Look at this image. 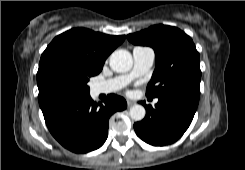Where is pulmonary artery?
<instances>
[{"mask_svg": "<svg viewBox=\"0 0 245 170\" xmlns=\"http://www.w3.org/2000/svg\"><path fill=\"white\" fill-rule=\"evenodd\" d=\"M134 67L130 74L117 76L94 86L97 94H107L120 90L132 79L145 74L153 65L155 54L149 47H135L133 49ZM158 102V100H155Z\"/></svg>", "mask_w": 245, "mask_h": 170, "instance_id": "obj_1", "label": "pulmonary artery"}]
</instances>
